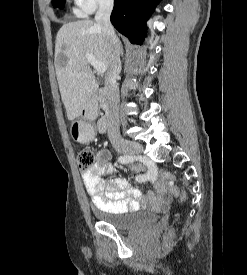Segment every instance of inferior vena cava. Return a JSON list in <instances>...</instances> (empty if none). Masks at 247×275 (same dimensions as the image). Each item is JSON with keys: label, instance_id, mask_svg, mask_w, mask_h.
I'll use <instances>...</instances> for the list:
<instances>
[{"label": "inferior vena cava", "instance_id": "inferior-vena-cava-1", "mask_svg": "<svg viewBox=\"0 0 247 275\" xmlns=\"http://www.w3.org/2000/svg\"><path fill=\"white\" fill-rule=\"evenodd\" d=\"M113 4V0H103L96 13L95 21L102 31L110 54L109 68L105 75V85L108 88L110 101L108 137L113 145H118L123 141L119 129V89L116 84V79L121 72L122 46L110 22Z\"/></svg>", "mask_w": 247, "mask_h": 275}]
</instances>
